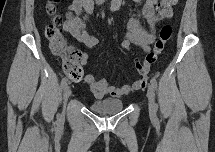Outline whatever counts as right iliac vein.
<instances>
[{
    "label": "right iliac vein",
    "mask_w": 215,
    "mask_h": 152,
    "mask_svg": "<svg viewBox=\"0 0 215 152\" xmlns=\"http://www.w3.org/2000/svg\"><path fill=\"white\" fill-rule=\"evenodd\" d=\"M71 95V89L69 86H66L65 87V90H64V95H63V100H64V105L66 104L68 98L70 97Z\"/></svg>",
    "instance_id": "1"
}]
</instances>
